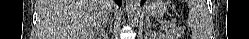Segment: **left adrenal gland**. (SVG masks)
Returning a JSON list of instances; mask_svg holds the SVG:
<instances>
[{
  "label": "left adrenal gland",
  "mask_w": 249,
  "mask_h": 39,
  "mask_svg": "<svg viewBox=\"0 0 249 39\" xmlns=\"http://www.w3.org/2000/svg\"><path fill=\"white\" fill-rule=\"evenodd\" d=\"M147 22H148V26L150 27L151 26L150 21L148 20Z\"/></svg>",
  "instance_id": "left-adrenal-gland-1"
}]
</instances>
